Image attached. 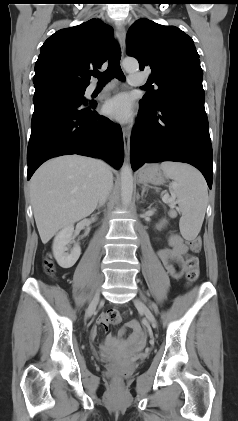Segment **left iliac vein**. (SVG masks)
Masks as SVG:
<instances>
[{
    "mask_svg": "<svg viewBox=\"0 0 238 421\" xmlns=\"http://www.w3.org/2000/svg\"><path fill=\"white\" fill-rule=\"evenodd\" d=\"M135 306L145 315L147 320L154 326L156 325V319L151 312V310L147 307V305L140 299L134 300Z\"/></svg>",
    "mask_w": 238,
    "mask_h": 421,
    "instance_id": "4c4485c4",
    "label": "left iliac vein"
}]
</instances>
